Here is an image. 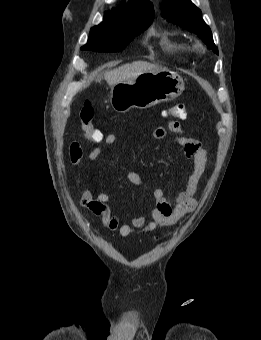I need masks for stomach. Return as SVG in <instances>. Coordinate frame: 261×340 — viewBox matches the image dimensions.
Listing matches in <instances>:
<instances>
[{"instance_id":"stomach-1","label":"stomach","mask_w":261,"mask_h":340,"mask_svg":"<svg viewBox=\"0 0 261 340\" xmlns=\"http://www.w3.org/2000/svg\"><path fill=\"white\" fill-rule=\"evenodd\" d=\"M183 90V79L175 72L147 71L112 86L110 104L120 113L131 108L146 109L177 98Z\"/></svg>"}]
</instances>
